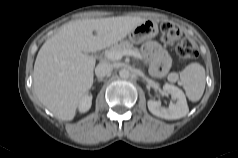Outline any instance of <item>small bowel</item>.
<instances>
[{"mask_svg":"<svg viewBox=\"0 0 238 158\" xmlns=\"http://www.w3.org/2000/svg\"><path fill=\"white\" fill-rule=\"evenodd\" d=\"M143 51L149 62L150 71L154 76L163 77L169 73L172 67L171 56L157 42H147Z\"/></svg>","mask_w":238,"mask_h":158,"instance_id":"small-bowel-1","label":"small bowel"}]
</instances>
